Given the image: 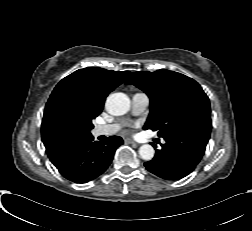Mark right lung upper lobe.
<instances>
[{
	"mask_svg": "<svg viewBox=\"0 0 252 231\" xmlns=\"http://www.w3.org/2000/svg\"><path fill=\"white\" fill-rule=\"evenodd\" d=\"M129 73L99 67L79 69L57 84L49 100L56 96H66L83 110L99 115L108 94L120 85ZM42 141L52 163L60 158L68 144L51 139L43 129Z\"/></svg>",
	"mask_w": 252,
	"mask_h": 231,
	"instance_id": "1",
	"label": "right lung upper lobe"
}]
</instances>
